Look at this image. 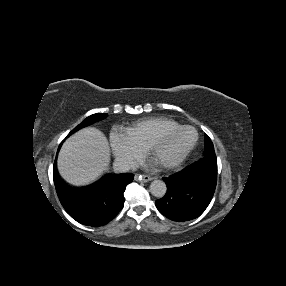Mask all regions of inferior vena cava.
<instances>
[{
  "label": "inferior vena cava",
  "instance_id": "obj_1",
  "mask_svg": "<svg viewBox=\"0 0 286 286\" xmlns=\"http://www.w3.org/2000/svg\"><path fill=\"white\" fill-rule=\"evenodd\" d=\"M114 166L115 171L120 173H124L135 168V164L125 158H116Z\"/></svg>",
  "mask_w": 286,
  "mask_h": 286
}]
</instances>
